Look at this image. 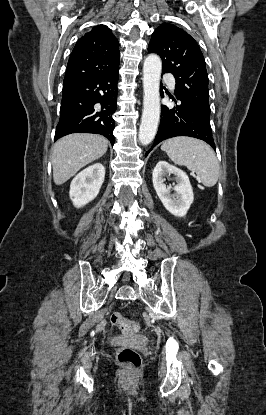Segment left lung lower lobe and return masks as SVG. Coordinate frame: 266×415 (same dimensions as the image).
<instances>
[{
  "label": "left lung lower lobe",
  "instance_id": "1",
  "mask_svg": "<svg viewBox=\"0 0 266 415\" xmlns=\"http://www.w3.org/2000/svg\"><path fill=\"white\" fill-rule=\"evenodd\" d=\"M175 103H177L176 100ZM176 136H190L201 139L216 150L210 122L200 117L180 100L173 108L162 105L158 133L152 147L146 152V156L161 141Z\"/></svg>",
  "mask_w": 266,
  "mask_h": 415
}]
</instances>
